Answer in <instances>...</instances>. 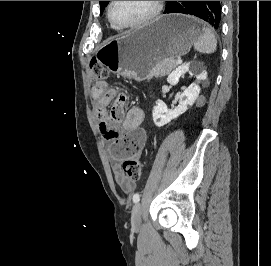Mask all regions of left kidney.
Wrapping results in <instances>:
<instances>
[{"label": "left kidney", "instance_id": "obj_1", "mask_svg": "<svg viewBox=\"0 0 271 266\" xmlns=\"http://www.w3.org/2000/svg\"><path fill=\"white\" fill-rule=\"evenodd\" d=\"M187 72L195 75L196 82L184 90L181 94L178 106L173 110H169L164 102L158 101L153 107V121L157 127L168 124L171 120L186 112L198 98L200 93L198 83L207 78V73L200 64L186 63L179 66L168 76L167 82L171 85H176L179 82V78Z\"/></svg>", "mask_w": 271, "mask_h": 266}]
</instances>
